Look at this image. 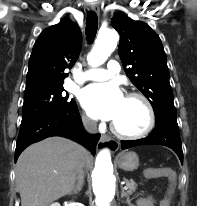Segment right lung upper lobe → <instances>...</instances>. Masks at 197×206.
<instances>
[{
    "label": "right lung upper lobe",
    "mask_w": 197,
    "mask_h": 206,
    "mask_svg": "<svg viewBox=\"0 0 197 206\" xmlns=\"http://www.w3.org/2000/svg\"><path fill=\"white\" fill-rule=\"evenodd\" d=\"M81 33L69 19L46 28L33 46L29 59L26 89L44 85H63L81 51Z\"/></svg>",
    "instance_id": "right-lung-upper-lobe-1"
}]
</instances>
